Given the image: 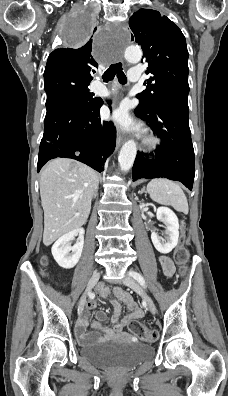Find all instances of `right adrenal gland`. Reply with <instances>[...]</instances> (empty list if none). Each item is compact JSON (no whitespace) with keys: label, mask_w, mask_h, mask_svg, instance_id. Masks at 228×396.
Here are the masks:
<instances>
[{"label":"right adrenal gland","mask_w":228,"mask_h":396,"mask_svg":"<svg viewBox=\"0 0 228 396\" xmlns=\"http://www.w3.org/2000/svg\"><path fill=\"white\" fill-rule=\"evenodd\" d=\"M98 196V190H96V192L93 195V198H96Z\"/></svg>","instance_id":"2a0ac1e0"}]
</instances>
